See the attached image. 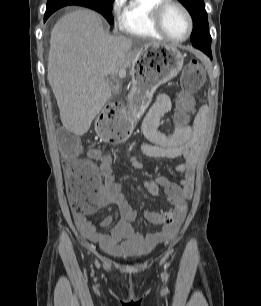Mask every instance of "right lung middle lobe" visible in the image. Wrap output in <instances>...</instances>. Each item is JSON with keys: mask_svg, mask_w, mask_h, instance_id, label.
Segmentation results:
<instances>
[{"mask_svg": "<svg viewBox=\"0 0 261 306\" xmlns=\"http://www.w3.org/2000/svg\"><path fill=\"white\" fill-rule=\"evenodd\" d=\"M114 0H75V1H67V0H51L47 1V7L45 13H53L67 5H79L84 6L90 9H93L100 14H102L106 20L112 24L114 22V18L111 14L112 10V2Z\"/></svg>", "mask_w": 261, "mask_h": 306, "instance_id": "1", "label": "right lung middle lobe"}]
</instances>
